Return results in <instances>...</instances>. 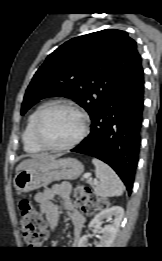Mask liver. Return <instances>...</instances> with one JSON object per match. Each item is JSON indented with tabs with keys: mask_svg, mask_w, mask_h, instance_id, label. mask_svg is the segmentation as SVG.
<instances>
[{
	"mask_svg": "<svg viewBox=\"0 0 162 261\" xmlns=\"http://www.w3.org/2000/svg\"><path fill=\"white\" fill-rule=\"evenodd\" d=\"M59 155H46V154H42V155H38L35 156L31 159H26L23 160L16 168V171L22 170V169H27V168H32L35 167L37 165H39L41 162H43L45 159L47 158H52V157H57Z\"/></svg>",
	"mask_w": 162,
	"mask_h": 261,
	"instance_id": "1",
	"label": "liver"
}]
</instances>
